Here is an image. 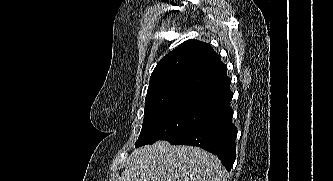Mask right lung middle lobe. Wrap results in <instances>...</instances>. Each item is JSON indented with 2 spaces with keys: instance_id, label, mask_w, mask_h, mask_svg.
I'll return each mask as SVG.
<instances>
[{
  "instance_id": "right-lung-middle-lobe-1",
  "label": "right lung middle lobe",
  "mask_w": 333,
  "mask_h": 181,
  "mask_svg": "<svg viewBox=\"0 0 333 181\" xmlns=\"http://www.w3.org/2000/svg\"><path fill=\"white\" fill-rule=\"evenodd\" d=\"M206 112V109L172 105L145 110V118L136 147L158 140H172L189 130Z\"/></svg>"
}]
</instances>
